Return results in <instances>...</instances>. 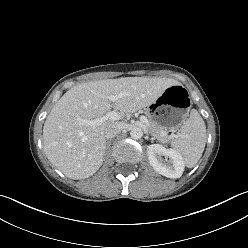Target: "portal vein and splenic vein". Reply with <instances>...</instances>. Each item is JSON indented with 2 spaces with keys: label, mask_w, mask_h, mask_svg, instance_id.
Returning a JSON list of instances; mask_svg holds the SVG:
<instances>
[{
  "label": "portal vein and splenic vein",
  "mask_w": 248,
  "mask_h": 248,
  "mask_svg": "<svg viewBox=\"0 0 248 248\" xmlns=\"http://www.w3.org/2000/svg\"><path fill=\"white\" fill-rule=\"evenodd\" d=\"M125 95H126L125 93H120V94H118V95H110V96L108 97V99H109L110 101H112V102H115V101H117L119 98L124 97ZM120 119H121V117H120V115H119L117 112H115V111H109V112H107L105 115H103L102 117L96 118V119H94V120H81V121H80V124H82V125L87 124V125H90V126L95 127V126H98V125H100V124L106 122L107 120L115 121V120H120ZM140 120H141L144 124H146V125L149 123V122H148V119H147L145 116H141V117H140ZM172 137H175V135H172Z\"/></svg>",
  "instance_id": "1"
}]
</instances>
